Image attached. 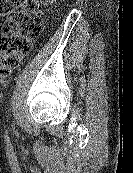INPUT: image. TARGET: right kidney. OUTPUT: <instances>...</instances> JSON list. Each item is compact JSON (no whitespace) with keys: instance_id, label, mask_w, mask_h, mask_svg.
<instances>
[{"instance_id":"ca27d5eb","label":"right kidney","mask_w":133,"mask_h":173,"mask_svg":"<svg viewBox=\"0 0 133 173\" xmlns=\"http://www.w3.org/2000/svg\"><path fill=\"white\" fill-rule=\"evenodd\" d=\"M43 1H45L46 3H47V2L52 3V2H54V1H56V0H43Z\"/></svg>"}]
</instances>
